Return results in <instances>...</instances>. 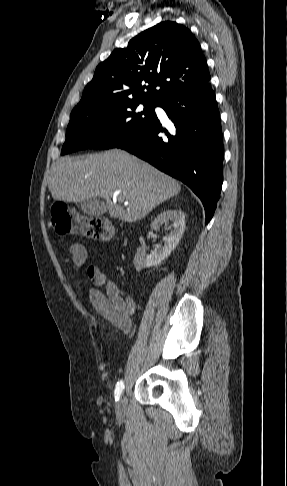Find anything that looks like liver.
Here are the masks:
<instances>
[{"instance_id":"obj_1","label":"liver","mask_w":287,"mask_h":486,"mask_svg":"<svg viewBox=\"0 0 287 486\" xmlns=\"http://www.w3.org/2000/svg\"><path fill=\"white\" fill-rule=\"evenodd\" d=\"M49 189L54 200L78 202L101 197L111 218L134 222L178 195L180 184L150 164L121 150L66 157L52 169ZM116 196V202L112 198ZM128 201L127 209L122 206Z\"/></svg>"}]
</instances>
